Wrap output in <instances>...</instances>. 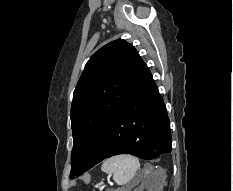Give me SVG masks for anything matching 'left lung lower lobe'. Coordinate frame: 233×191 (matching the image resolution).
<instances>
[{
  "mask_svg": "<svg viewBox=\"0 0 233 191\" xmlns=\"http://www.w3.org/2000/svg\"><path fill=\"white\" fill-rule=\"evenodd\" d=\"M171 150L166 107L150 70L145 68L79 175L114 155L131 154L150 160Z\"/></svg>",
  "mask_w": 233,
  "mask_h": 191,
  "instance_id": "1",
  "label": "left lung lower lobe"
}]
</instances>
